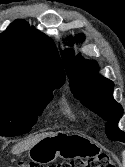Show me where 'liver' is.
<instances>
[{"instance_id": "1", "label": "liver", "mask_w": 125, "mask_h": 167, "mask_svg": "<svg viewBox=\"0 0 125 167\" xmlns=\"http://www.w3.org/2000/svg\"><path fill=\"white\" fill-rule=\"evenodd\" d=\"M56 132H44L37 134L35 136L29 137L22 142L17 143L15 146L12 148V153L13 154H20L26 150H29L32 146H34L37 142L42 140L43 138H46L48 136L55 135Z\"/></svg>"}]
</instances>
